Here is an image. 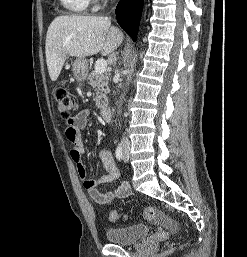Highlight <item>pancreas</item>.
<instances>
[{"label": "pancreas", "instance_id": "1", "mask_svg": "<svg viewBox=\"0 0 247 257\" xmlns=\"http://www.w3.org/2000/svg\"><path fill=\"white\" fill-rule=\"evenodd\" d=\"M87 81L88 84L94 88V91L96 93V106L99 109L106 107L108 103V94L110 92V89L108 87L109 74H98L96 72H92L88 75Z\"/></svg>", "mask_w": 247, "mask_h": 257}]
</instances>
